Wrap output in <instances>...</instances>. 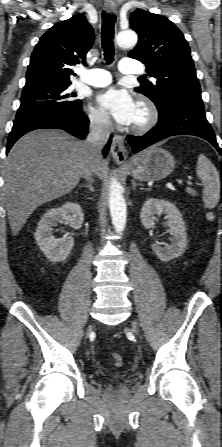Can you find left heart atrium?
<instances>
[{
    "instance_id": "39dd6f15",
    "label": "left heart atrium",
    "mask_w": 222,
    "mask_h": 447,
    "mask_svg": "<svg viewBox=\"0 0 222 447\" xmlns=\"http://www.w3.org/2000/svg\"><path fill=\"white\" fill-rule=\"evenodd\" d=\"M100 108L121 125H131L137 115V105L131 95L122 89L110 88L98 96Z\"/></svg>"
}]
</instances>
